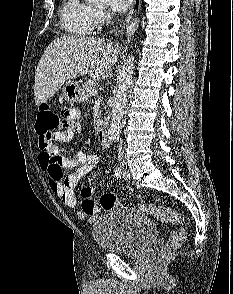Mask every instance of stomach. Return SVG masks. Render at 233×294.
Listing matches in <instances>:
<instances>
[{
  "instance_id": "obj_1",
  "label": "stomach",
  "mask_w": 233,
  "mask_h": 294,
  "mask_svg": "<svg viewBox=\"0 0 233 294\" xmlns=\"http://www.w3.org/2000/svg\"><path fill=\"white\" fill-rule=\"evenodd\" d=\"M63 98L69 103L80 102L81 100V87L77 81H67L62 89Z\"/></svg>"
}]
</instances>
